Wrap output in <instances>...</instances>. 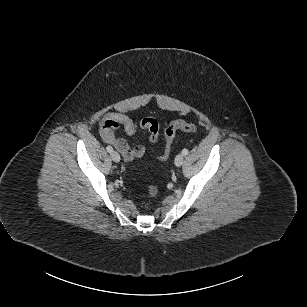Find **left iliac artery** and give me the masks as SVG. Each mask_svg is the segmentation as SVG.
Segmentation results:
<instances>
[{"label":"left iliac artery","instance_id":"left-iliac-artery-1","mask_svg":"<svg viewBox=\"0 0 307 307\" xmlns=\"http://www.w3.org/2000/svg\"><path fill=\"white\" fill-rule=\"evenodd\" d=\"M188 153H189L188 149H183V150H182V154H183L184 156H186Z\"/></svg>","mask_w":307,"mask_h":307}]
</instances>
